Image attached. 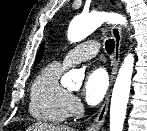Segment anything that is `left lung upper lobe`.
<instances>
[{
    "instance_id": "left-lung-upper-lobe-1",
    "label": "left lung upper lobe",
    "mask_w": 147,
    "mask_h": 131,
    "mask_svg": "<svg viewBox=\"0 0 147 131\" xmlns=\"http://www.w3.org/2000/svg\"><path fill=\"white\" fill-rule=\"evenodd\" d=\"M43 51H44V47L42 45L41 48H40V50H39V52H38V54H37V57L35 59L34 66H36L40 62V60H41V58L43 56Z\"/></svg>"
}]
</instances>
